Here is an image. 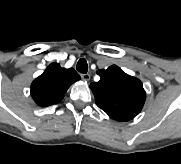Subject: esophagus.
<instances>
[{
  "label": "esophagus",
  "instance_id": "1",
  "mask_svg": "<svg viewBox=\"0 0 181 164\" xmlns=\"http://www.w3.org/2000/svg\"><path fill=\"white\" fill-rule=\"evenodd\" d=\"M81 78L84 81H89L90 80V74L86 73V74H81Z\"/></svg>",
  "mask_w": 181,
  "mask_h": 164
}]
</instances>
